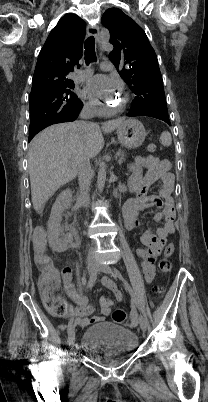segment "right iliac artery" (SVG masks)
<instances>
[{
    "label": "right iliac artery",
    "mask_w": 208,
    "mask_h": 402,
    "mask_svg": "<svg viewBox=\"0 0 208 402\" xmlns=\"http://www.w3.org/2000/svg\"><path fill=\"white\" fill-rule=\"evenodd\" d=\"M96 277H97V270L95 271V273L93 274V276L90 277V279H89V281H88V284H87V289L93 287V285H94V283H95V280H96ZM73 322H74V317H72V318L70 319L69 323H68V326H67V333L70 332V329H71L72 326H73Z\"/></svg>",
    "instance_id": "right-iliac-artery-1"
}]
</instances>
